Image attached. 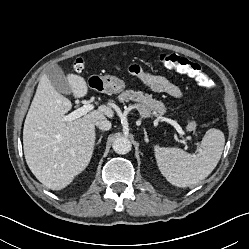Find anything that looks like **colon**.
<instances>
[{
	"label": "colon",
	"mask_w": 249,
	"mask_h": 249,
	"mask_svg": "<svg viewBox=\"0 0 249 249\" xmlns=\"http://www.w3.org/2000/svg\"><path fill=\"white\" fill-rule=\"evenodd\" d=\"M159 62L166 68L174 69L193 78L201 87L210 88L212 86L211 78L202 70L201 66L195 62L181 57L177 54L162 53L159 55ZM85 63L81 58L73 62V69L76 72H82Z\"/></svg>",
	"instance_id": "obj_1"
}]
</instances>
